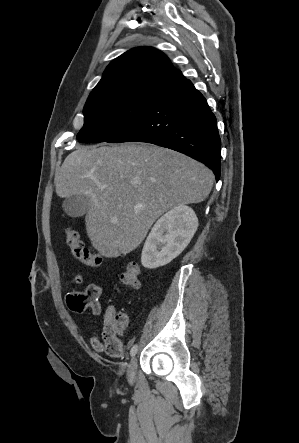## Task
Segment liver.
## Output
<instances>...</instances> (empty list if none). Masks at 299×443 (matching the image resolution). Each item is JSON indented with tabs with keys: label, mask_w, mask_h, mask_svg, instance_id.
<instances>
[{
	"label": "liver",
	"mask_w": 299,
	"mask_h": 443,
	"mask_svg": "<svg viewBox=\"0 0 299 443\" xmlns=\"http://www.w3.org/2000/svg\"><path fill=\"white\" fill-rule=\"evenodd\" d=\"M214 175L204 164L179 152L148 144L78 147L57 176L61 198L90 197L87 235L108 258L126 255L144 240L164 212L203 202ZM142 204L139 209L136 205Z\"/></svg>",
	"instance_id": "liver-1"
}]
</instances>
